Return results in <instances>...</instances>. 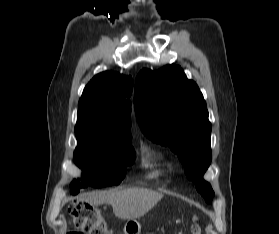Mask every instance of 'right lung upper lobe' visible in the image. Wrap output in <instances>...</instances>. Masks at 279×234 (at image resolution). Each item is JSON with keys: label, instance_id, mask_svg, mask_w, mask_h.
I'll use <instances>...</instances> for the list:
<instances>
[{"label": "right lung upper lobe", "instance_id": "cb5924a9", "mask_svg": "<svg viewBox=\"0 0 279 234\" xmlns=\"http://www.w3.org/2000/svg\"><path fill=\"white\" fill-rule=\"evenodd\" d=\"M133 81L114 72L97 74L79 100L77 125L103 140L132 139L130 126Z\"/></svg>", "mask_w": 279, "mask_h": 234}]
</instances>
